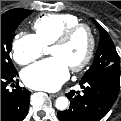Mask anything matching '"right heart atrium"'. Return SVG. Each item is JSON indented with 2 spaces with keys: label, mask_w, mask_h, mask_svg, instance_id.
Returning <instances> with one entry per match:
<instances>
[{
  "label": "right heart atrium",
  "mask_w": 121,
  "mask_h": 121,
  "mask_svg": "<svg viewBox=\"0 0 121 121\" xmlns=\"http://www.w3.org/2000/svg\"><path fill=\"white\" fill-rule=\"evenodd\" d=\"M44 45L34 34H18L12 42L13 59L20 65L29 64L44 53Z\"/></svg>",
  "instance_id": "right-heart-atrium-1"
}]
</instances>
